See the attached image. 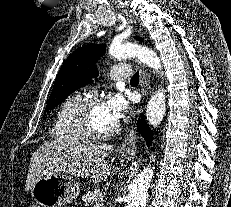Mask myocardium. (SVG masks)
Returning a JSON list of instances; mask_svg holds the SVG:
<instances>
[{"instance_id": "myocardium-1", "label": "myocardium", "mask_w": 231, "mask_h": 207, "mask_svg": "<svg viewBox=\"0 0 231 207\" xmlns=\"http://www.w3.org/2000/svg\"><path fill=\"white\" fill-rule=\"evenodd\" d=\"M102 103V98L99 95H88L82 98L73 111V121L79 133L86 139L100 141L113 137L119 131V125L116 124L112 129L106 132L95 131L88 121L90 109Z\"/></svg>"}]
</instances>
